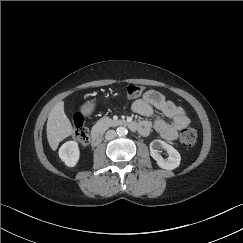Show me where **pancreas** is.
Returning <instances> with one entry per match:
<instances>
[{"instance_id": "obj_1", "label": "pancreas", "mask_w": 243, "mask_h": 243, "mask_svg": "<svg viewBox=\"0 0 243 243\" xmlns=\"http://www.w3.org/2000/svg\"><path fill=\"white\" fill-rule=\"evenodd\" d=\"M115 124V121L109 117H103L97 121V123L94 126V129L103 132L109 127L113 126Z\"/></svg>"}]
</instances>
